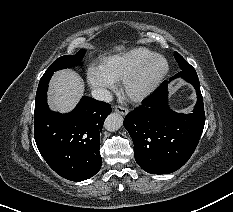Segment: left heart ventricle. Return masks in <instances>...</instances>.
Instances as JSON below:
<instances>
[{"mask_svg":"<svg viewBox=\"0 0 233 212\" xmlns=\"http://www.w3.org/2000/svg\"><path fill=\"white\" fill-rule=\"evenodd\" d=\"M164 62L162 60L153 61L140 75L134 84V89H141L151 83L157 75L163 70Z\"/></svg>","mask_w":233,"mask_h":212,"instance_id":"left-heart-ventricle-1","label":"left heart ventricle"}]
</instances>
